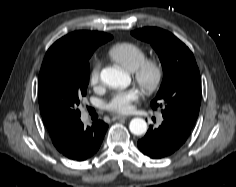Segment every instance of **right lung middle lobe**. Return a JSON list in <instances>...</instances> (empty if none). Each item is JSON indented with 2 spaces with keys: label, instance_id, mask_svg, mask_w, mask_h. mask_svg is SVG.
<instances>
[{
  "label": "right lung middle lobe",
  "instance_id": "dd1d6c3e",
  "mask_svg": "<svg viewBox=\"0 0 236 187\" xmlns=\"http://www.w3.org/2000/svg\"><path fill=\"white\" fill-rule=\"evenodd\" d=\"M107 40L81 49L50 48L38 77V99L42 117L65 122L80 121L78 106L89 83V59Z\"/></svg>",
  "mask_w": 236,
  "mask_h": 187
}]
</instances>
